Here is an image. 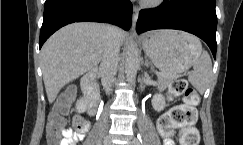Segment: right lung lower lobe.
<instances>
[{
  "label": "right lung lower lobe",
  "instance_id": "1",
  "mask_svg": "<svg viewBox=\"0 0 243 145\" xmlns=\"http://www.w3.org/2000/svg\"><path fill=\"white\" fill-rule=\"evenodd\" d=\"M81 21L107 22L129 30L132 4L130 0H46L39 47L62 26Z\"/></svg>",
  "mask_w": 243,
  "mask_h": 145
}]
</instances>
